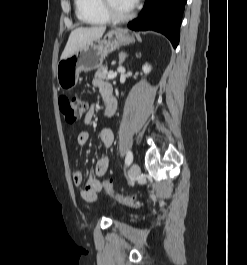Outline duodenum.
I'll use <instances>...</instances> for the list:
<instances>
[{"mask_svg":"<svg viewBox=\"0 0 247 265\" xmlns=\"http://www.w3.org/2000/svg\"><path fill=\"white\" fill-rule=\"evenodd\" d=\"M105 97H106V107H105L104 114H105L106 116H108L109 107L111 106L112 98H113V97H112L111 89L106 91V93H105Z\"/></svg>","mask_w":247,"mask_h":265,"instance_id":"410a0bca","label":"duodenum"}]
</instances>
